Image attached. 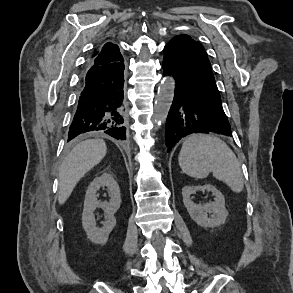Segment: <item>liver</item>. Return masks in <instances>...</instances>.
<instances>
[{"label": "liver", "mask_w": 293, "mask_h": 293, "mask_svg": "<svg viewBox=\"0 0 293 293\" xmlns=\"http://www.w3.org/2000/svg\"><path fill=\"white\" fill-rule=\"evenodd\" d=\"M106 153L107 147L102 139H88L72 149L59 168L58 201L60 205L66 202L80 179L99 164Z\"/></svg>", "instance_id": "6515ba94"}]
</instances>
